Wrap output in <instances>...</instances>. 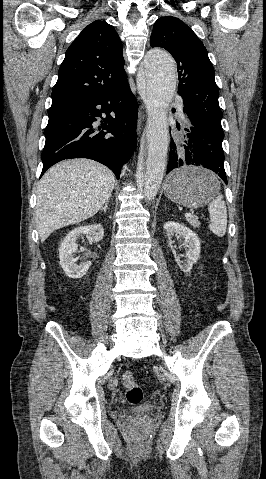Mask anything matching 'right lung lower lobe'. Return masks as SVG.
Masks as SVG:
<instances>
[{"label":"right lung lower lobe","mask_w":266,"mask_h":479,"mask_svg":"<svg viewBox=\"0 0 266 479\" xmlns=\"http://www.w3.org/2000/svg\"><path fill=\"white\" fill-rule=\"evenodd\" d=\"M41 154L45 171L70 158H89L117 178L137 143L138 104L128 81L115 89L52 101ZM102 119L101 125L94 122Z\"/></svg>","instance_id":"obj_1"}]
</instances>
